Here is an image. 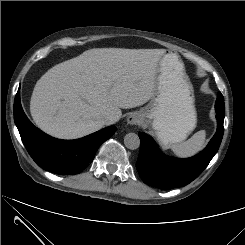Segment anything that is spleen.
Instances as JSON below:
<instances>
[{
  "mask_svg": "<svg viewBox=\"0 0 245 245\" xmlns=\"http://www.w3.org/2000/svg\"><path fill=\"white\" fill-rule=\"evenodd\" d=\"M206 131L196 132L190 139L185 142L171 146L172 151L178 157L186 158L195 155L201 151L205 145Z\"/></svg>",
  "mask_w": 245,
  "mask_h": 245,
  "instance_id": "spleen-1",
  "label": "spleen"
}]
</instances>
